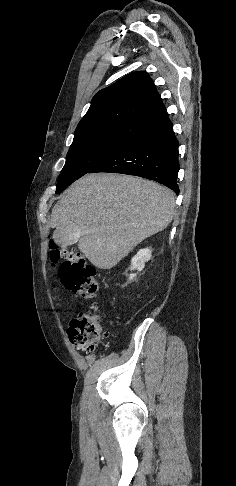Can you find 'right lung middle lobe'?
<instances>
[{
  "label": "right lung middle lobe",
  "mask_w": 236,
  "mask_h": 486,
  "mask_svg": "<svg viewBox=\"0 0 236 486\" xmlns=\"http://www.w3.org/2000/svg\"><path fill=\"white\" fill-rule=\"evenodd\" d=\"M138 126L133 123L114 124L75 135L58 178L56 193L62 192L129 141L138 131Z\"/></svg>",
  "instance_id": "right-lung-middle-lobe-1"
}]
</instances>
